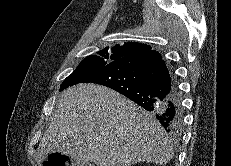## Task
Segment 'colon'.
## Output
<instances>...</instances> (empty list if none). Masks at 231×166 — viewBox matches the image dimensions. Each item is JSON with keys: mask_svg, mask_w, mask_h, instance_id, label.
Returning a JSON list of instances; mask_svg holds the SVG:
<instances>
[{"mask_svg": "<svg viewBox=\"0 0 231 166\" xmlns=\"http://www.w3.org/2000/svg\"><path fill=\"white\" fill-rule=\"evenodd\" d=\"M68 158L65 154L53 152L44 162V166H67Z\"/></svg>", "mask_w": 231, "mask_h": 166, "instance_id": "5ec220e1", "label": "colon"}]
</instances>
